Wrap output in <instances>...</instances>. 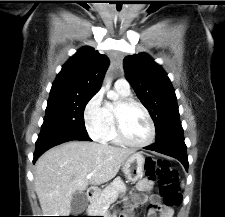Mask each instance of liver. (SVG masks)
<instances>
[{
  "label": "liver",
  "mask_w": 225,
  "mask_h": 217,
  "mask_svg": "<svg viewBox=\"0 0 225 217\" xmlns=\"http://www.w3.org/2000/svg\"><path fill=\"white\" fill-rule=\"evenodd\" d=\"M134 150L71 141L45 152L35 164L34 186L44 216H69L71 200L89 184L113 179ZM92 174L90 179L86 176Z\"/></svg>",
  "instance_id": "6515ba94"
}]
</instances>
